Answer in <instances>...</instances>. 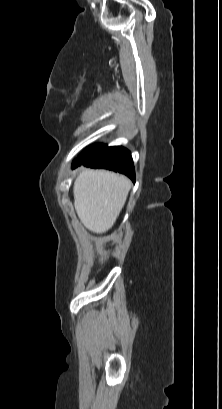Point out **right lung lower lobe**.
Masks as SVG:
<instances>
[{
    "instance_id": "obj_1",
    "label": "right lung lower lobe",
    "mask_w": 222,
    "mask_h": 409,
    "mask_svg": "<svg viewBox=\"0 0 222 409\" xmlns=\"http://www.w3.org/2000/svg\"><path fill=\"white\" fill-rule=\"evenodd\" d=\"M84 165L91 168H105L120 172L135 182V172L130 152L123 147L104 146L97 154L82 162H73L72 168Z\"/></svg>"
}]
</instances>
